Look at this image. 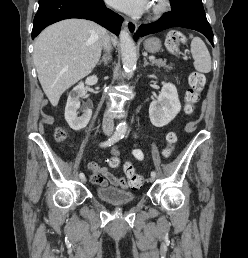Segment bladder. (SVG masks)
I'll return each instance as SVG.
<instances>
[{
    "instance_id": "1",
    "label": "bladder",
    "mask_w": 248,
    "mask_h": 258,
    "mask_svg": "<svg viewBox=\"0 0 248 258\" xmlns=\"http://www.w3.org/2000/svg\"><path fill=\"white\" fill-rule=\"evenodd\" d=\"M97 197L113 206H125L136 200V194L130 191L120 190L114 186H99L96 189Z\"/></svg>"
}]
</instances>
